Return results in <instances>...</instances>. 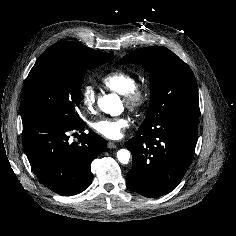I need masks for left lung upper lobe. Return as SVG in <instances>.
<instances>
[{
	"label": "left lung upper lobe",
	"instance_id": "obj_1",
	"mask_svg": "<svg viewBox=\"0 0 236 236\" xmlns=\"http://www.w3.org/2000/svg\"><path fill=\"white\" fill-rule=\"evenodd\" d=\"M122 64H143L150 71V105L140 128L172 116L199 118L198 88L191 68L172 51L145 47L125 55Z\"/></svg>",
	"mask_w": 236,
	"mask_h": 236
}]
</instances>
